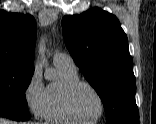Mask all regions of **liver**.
I'll return each mask as SVG.
<instances>
[{
	"label": "liver",
	"instance_id": "1",
	"mask_svg": "<svg viewBox=\"0 0 156 124\" xmlns=\"http://www.w3.org/2000/svg\"><path fill=\"white\" fill-rule=\"evenodd\" d=\"M0 124H13V122L0 118ZM31 124V123H26Z\"/></svg>",
	"mask_w": 156,
	"mask_h": 124
}]
</instances>
